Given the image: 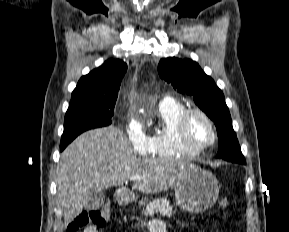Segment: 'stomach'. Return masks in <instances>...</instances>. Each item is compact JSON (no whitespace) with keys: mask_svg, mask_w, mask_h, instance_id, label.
I'll return each instance as SVG.
<instances>
[{"mask_svg":"<svg viewBox=\"0 0 289 232\" xmlns=\"http://www.w3.org/2000/svg\"><path fill=\"white\" fill-rule=\"evenodd\" d=\"M219 190V183L211 172L193 166L175 185L176 204L190 213L203 212L217 201ZM128 199L129 197L123 195L118 198L122 202Z\"/></svg>","mask_w":289,"mask_h":232,"instance_id":"stomach-1","label":"stomach"}]
</instances>
